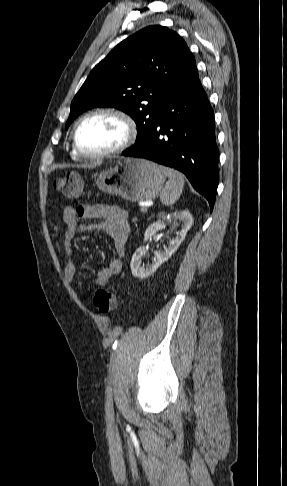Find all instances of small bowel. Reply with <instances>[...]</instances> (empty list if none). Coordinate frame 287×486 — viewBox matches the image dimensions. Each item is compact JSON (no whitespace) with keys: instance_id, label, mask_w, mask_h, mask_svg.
I'll return each mask as SVG.
<instances>
[{"instance_id":"obj_1","label":"small bowel","mask_w":287,"mask_h":486,"mask_svg":"<svg viewBox=\"0 0 287 486\" xmlns=\"http://www.w3.org/2000/svg\"><path fill=\"white\" fill-rule=\"evenodd\" d=\"M95 220L93 223L84 222ZM65 233L63 236V250L66 257L64 269L68 283L77 288L84 286L76 280V265L73 260L72 242L76 234L86 230H100L106 232L113 240L114 250L118 257L126 253V243L130 235V223L125 210L108 205H83L79 207L67 206L63 211ZM122 262L119 258L112 259L107 266L97 270L92 286H105L110 279L119 274Z\"/></svg>"}]
</instances>
